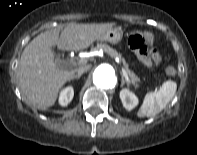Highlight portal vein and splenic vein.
<instances>
[{
    "label": "portal vein and splenic vein",
    "mask_w": 197,
    "mask_h": 155,
    "mask_svg": "<svg viewBox=\"0 0 197 155\" xmlns=\"http://www.w3.org/2000/svg\"><path fill=\"white\" fill-rule=\"evenodd\" d=\"M82 62H83L82 60L79 61V63H82ZM122 73H123V76L125 77V79H126L127 81H129V78H128V76H127V74H126V72H125L124 69H122Z\"/></svg>",
    "instance_id": "portal-vein-and-splenic-vein-1"
}]
</instances>
